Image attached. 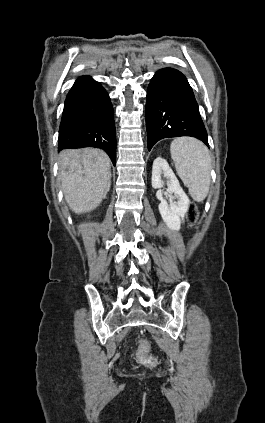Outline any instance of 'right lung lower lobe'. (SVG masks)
Masks as SVG:
<instances>
[{
	"label": "right lung lower lobe",
	"mask_w": 265,
	"mask_h": 423,
	"mask_svg": "<svg viewBox=\"0 0 265 423\" xmlns=\"http://www.w3.org/2000/svg\"><path fill=\"white\" fill-rule=\"evenodd\" d=\"M110 98L89 76L78 78L69 91L59 128L58 149L96 147L116 163V134Z\"/></svg>",
	"instance_id": "98d812e1"
}]
</instances>
